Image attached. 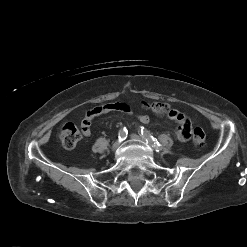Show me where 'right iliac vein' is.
Returning a JSON list of instances; mask_svg holds the SVG:
<instances>
[{
  "label": "right iliac vein",
  "instance_id": "right-iliac-vein-1",
  "mask_svg": "<svg viewBox=\"0 0 247 247\" xmlns=\"http://www.w3.org/2000/svg\"><path fill=\"white\" fill-rule=\"evenodd\" d=\"M120 146V142L116 141L113 145H112V151L117 150V148Z\"/></svg>",
  "mask_w": 247,
  "mask_h": 247
}]
</instances>
